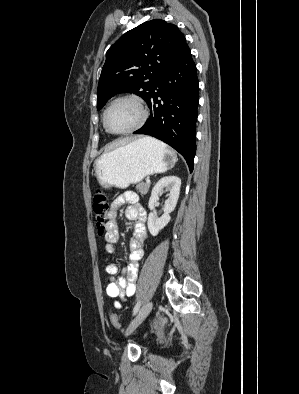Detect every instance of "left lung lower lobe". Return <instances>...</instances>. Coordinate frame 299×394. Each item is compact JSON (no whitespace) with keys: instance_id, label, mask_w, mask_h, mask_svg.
Masks as SVG:
<instances>
[{"instance_id":"obj_1","label":"left lung lower lobe","mask_w":299,"mask_h":394,"mask_svg":"<svg viewBox=\"0 0 299 394\" xmlns=\"http://www.w3.org/2000/svg\"><path fill=\"white\" fill-rule=\"evenodd\" d=\"M198 78L188 45L161 74L147 102L150 117L134 134L164 141L177 150L193 171L196 153Z\"/></svg>"}]
</instances>
